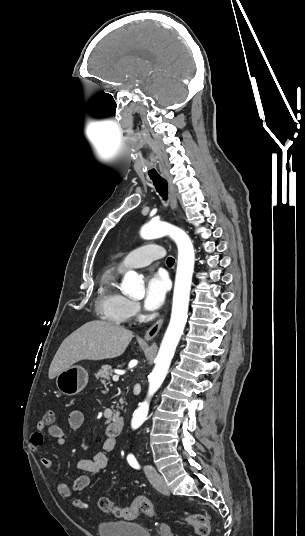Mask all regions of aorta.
<instances>
[{
	"instance_id": "aorta-1",
	"label": "aorta",
	"mask_w": 305,
	"mask_h": 536,
	"mask_svg": "<svg viewBox=\"0 0 305 536\" xmlns=\"http://www.w3.org/2000/svg\"><path fill=\"white\" fill-rule=\"evenodd\" d=\"M143 239L150 240L170 236L178 248V263L173 293L170 323L155 359V367L149 376L147 399L140 403L132 417V427L138 428L146 420L149 411V399L162 385L188 317V306L192 275L194 272L195 251L190 237L185 231L167 222H150L141 228ZM123 293L141 298L144 296V283L134 271H128L122 281Z\"/></svg>"
}]
</instances>
